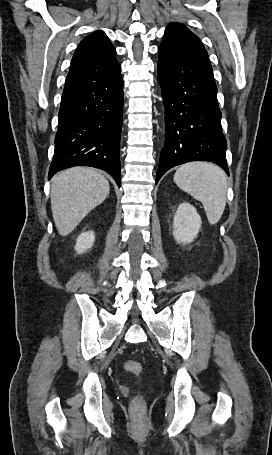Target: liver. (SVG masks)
<instances>
[{"label":"liver","mask_w":272,"mask_h":455,"mask_svg":"<svg viewBox=\"0 0 272 455\" xmlns=\"http://www.w3.org/2000/svg\"><path fill=\"white\" fill-rule=\"evenodd\" d=\"M109 191L107 179L95 169L74 167L55 175L51 184V209L59 234H70L107 198Z\"/></svg>","instance_id":"1"}]
</instances>
